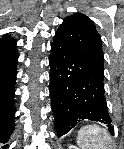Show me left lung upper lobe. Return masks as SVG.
<instances>
[{
    "mask_svg": "<svg viewBox=\"0 0 124 149\" xmlns=\"http://www.w3.org/2000/svg\"><path fill=\"white\" fill-rule=\"evenodd\" d=\"M56 33L95 67L104 71L102 40L89 17L74 13L63 20Z\"/></svg>",
    "mask_w": 124,
    "mask_h": 149,
    "instance_id": "1",
    "label": "left lung upper lobe"
}]
</instances>
